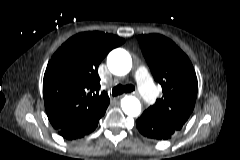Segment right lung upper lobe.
<instances>
[{
  "instance_id": "obj_1",
  "label": "right lung upper lobe",
  "mask_w": 240,
  "mask_h": 160,
  "mask_svg": "<svg viewBox=\"0 0 240 160\" xmlns=\"http://www.w3.org/2000/svg\"><path fill=\"white\" fill-rule=\"evenodd\" d=\"M124 39L102 32H83L68 39L52 56L43 79V98L48 119L58 130L84 117L110 99L99 94L98 66Z\"/></svg>"
}]
</instances>
